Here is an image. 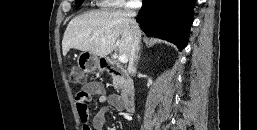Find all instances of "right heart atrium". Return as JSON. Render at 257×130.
I'll return each mask as SVG.
<instances>
[{
  "label": "right heart atrium",
  "mask_w": 257,
  "mask_h": 130,
  "mask_svg": "<svg viewBox=\"0 0 257 130\" xmlns=\"http://www.w3.org/2000/svg\"><path fill=\"white\" fill-rule=\"evenodd\" d=\"M103 7H124L133 4L136 0H98Z\"/></svg>",
  "instance_id": "right-heart-atrium-1"
}]
</instances>
